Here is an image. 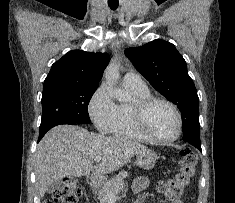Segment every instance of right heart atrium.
Masks as SVG:
<instances>
[{"mask_svg":"<svg viewBox=\"0 0 235 203\" xmlns=\"http://www.w3.org/2000/svg\"><path fill=\"white\" fill-rule=\"evenodd\" d=\"M88 113L100 132H109L117 113V104L112 99L106 85H100L88 103Z\"/></svg>","mask_w":235,"mask_h":203,"instance_id":"right-heart-atrium-1","label":"right heart atrium"}]
</instances>
